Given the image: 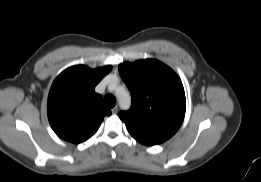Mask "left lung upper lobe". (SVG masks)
Returning <instances> with one entry per match:
<instances>
[{
	"label": "left lung upper lobe",
	"mask_w": 261,
	"mask_h": 182,
	"mask_svg": "<svg viewBox=\"0 0 261 182\" xmlns=\"http://www.w3.org/2000/svg\"><path fill=\"white\" fill-rule=\"evenodd\" d=\"M118 68L132 96L131 109L119 114L129 133L148 146L172 137L186 110L185 92L177 74L155 59L122 63Z\"/></svg>",
	"instance_id": "1"
}]
</instances>
